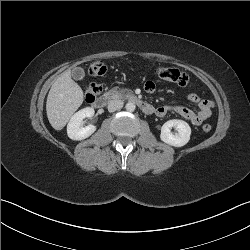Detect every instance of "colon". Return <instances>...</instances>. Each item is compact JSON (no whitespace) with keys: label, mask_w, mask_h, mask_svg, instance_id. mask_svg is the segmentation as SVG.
<instances>
[{"label":"colon","mask_w":250,"mask_h":250,"mask_svg":"<svg viewBox=\"0 0 250 250\" xmlns=\"http://www.w3.org/2000/svg\"><path fill=\"white\" fill-rule=\"evenodd\" d=\"M105 71L106 66L100 61L93 62L88 67V74L90 76H101L105 73ZM156 75L161 80L175 83L181 87L188 86L190 82L189 76L176 68L159 67L156 70ZM100 92L101 87L98 84H89L85 89L86 101L93 102L98 97ZM202 129L204 132H209L212 129V126L210 124H204Z\"/></svg>","instance_id":"obj_1"}]
</instances>
